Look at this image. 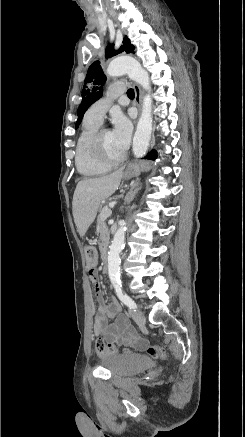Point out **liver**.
I'll list each match as a JSON object with an SVG mask.
<instances>
[{
	"mask_svg": "<svg viewBox=\"0 0 245 437\" xmlns=\"http://www.w3.org/2000/svg\"><path fill=\"white\" fill-rule=\"evenodd\" d=\"M123 168L99 178L78 182L73 195L72 213L77 232L83 237L94 222L102 200L109 198L119 187Z\"/></svg>",
	"mask_w": 245,
	"mask_h": 437,
	"instance_id": "liver-1",
	"label": "liver"
}]
</instances>
